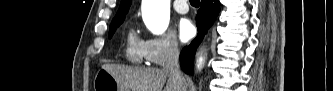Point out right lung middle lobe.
<instances>
[{
  "instance_id": "obj_1",
  "label": "right lung middle lobe",
  "mask_w": 333,
  "mask_h": 91,
  "mask_svg": "<svg viewBox=\"0 0 333 91\" xmlns=\"http://www.w3.org/2000/svg\"><path fill=\"white\" fill-rule=\"evenodd\" d=\"M125 18H119L114 19L111 22L110 28H109V38H111L116 31V28L120 26V24L124 21Z\"/></svg>"
}]
</instances>
